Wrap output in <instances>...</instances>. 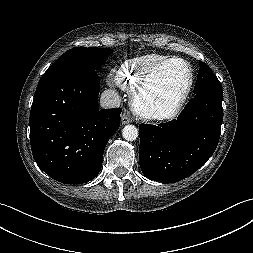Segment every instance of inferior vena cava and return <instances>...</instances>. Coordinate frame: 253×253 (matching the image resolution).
<instances>
[{
  "label": "inferior vena cava",
  "mask_w": 253,
  "mask_h": 253,
  "mask_svg": "<svg viewBox=\"0 0 253 253\" xmlns=\"http://www.w3.org/2000/svg\"><path fill=\"white\" fill-rule=\"evenodd\" d=\"M121 99L117 92L112 89L105 90L100 97L102 108H117L120 106Z\"/></svg>",
  "instance_id": "obj_1"
}]
</instances>
